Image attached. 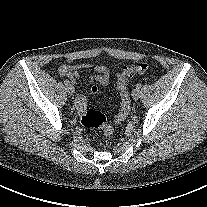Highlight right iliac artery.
I'll use <instances>...</instances> for the list:
<instances>
[{
    "instance_id": "1",
    "label": "right iliac artery",
    "mask_w": 207,
    "mask_h": 207,
    "mask_svg": "<svg viewBox=\"0 0 207 207\" xmlns=\"http://www.w3.org/2000/svg\"><path fill=\"white\" fill-rule=\"evenodd\" d=\"M64 84L68 86V85H70V81L66 79V80L64 81Z\"/></svg>"
}]
</instances>
